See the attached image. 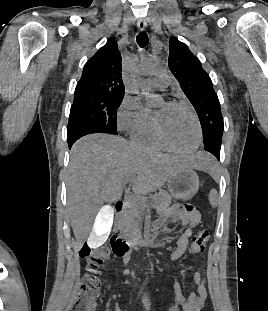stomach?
<instances>
[{"instance_id":"stomach-1","label":"stomach","mask_w":268,"mask_h":311,"mask_svg":"<svg viewBox=\"0 0 268 311\" xmlns=\"http://www.w3.org/2000/svg\"><path fill=\"white\" fill-rule=\"evenodd\" d=\"M167 185L173 197L190 200L199 189V178L192 168L183 167L169 177Z\"/></svg>"}]
</instances>
